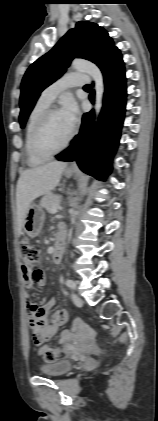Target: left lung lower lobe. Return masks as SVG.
<instances>
[{"instance_id": "obj_1", "label": "left lung lower lobe", "mask_w": 158, "mask_h": 421, "mask_svg": "<svg viewBox=\"0 0 158 421\" xmlns=\"http://www.w3.org/2000/svg\"><path fill=\"white\" fill-rule=\"evenodd\" d=\"M104 76L105 93L103 108L97 125H94V111L85 113L79 134L71 141L70 147L56 155L59 161H76L80 169L99 179L111 170L112 155L115 152L126 105V78L122 55L117 48L101 65ZM94 102V91L90 94Z\"/></svg>"}]
</instances>
